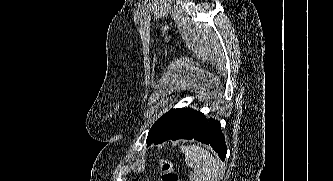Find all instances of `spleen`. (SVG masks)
<instances>
[{
	"label": "spleen",
	"instance_id": "spleen-1",
	"mask_svg": "<svg viewBox=\"0 0 333 181\" xmlns=\"http://www.w3.org/2000/svg\"><path fill=\"white\" fill-rule=\"evenodd\" d=\"M181 152L185 155V162L193 169L190 181H218L222 174L220 164L206 149L196 145H182Z\"/></svg>",
	"mask_w": 333,
	"mask_h": 181
}]
</instances>
